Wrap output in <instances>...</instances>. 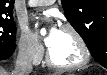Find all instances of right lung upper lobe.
Instances as JSON below:
<instances>
[{"label": "right lung upper lobe", "instance_id": "1", "mask_svg": "<svg viewBox=\"0 0 107 75\" xmlns=\"http://www.w3.org/2000/svg\"><path fill=\"white\" fill-rule=\"evenodd\" d=\"M14 1L15 0H0V18L12 17Z\"/></svg>", "mask_w": 107, "mask_h": 75}]
</instances>
